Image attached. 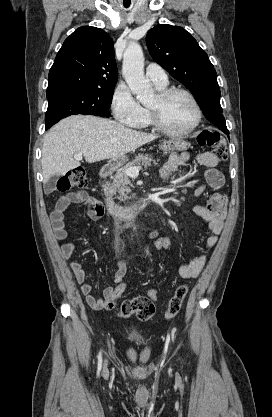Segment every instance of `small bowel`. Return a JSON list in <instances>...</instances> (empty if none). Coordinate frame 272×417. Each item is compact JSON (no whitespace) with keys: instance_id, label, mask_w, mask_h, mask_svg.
<instances>
[{"instance_id":"c3829d8e","label":"small bowel","mask_w":272,"mask_h":417,"mask_svg":"<svg viewBox=\"0 0 272 417\" xmlns=\"http://www.w3.org/2000/svg\"><path fill=\"white\" fill-rule=\"evenodd\" d=\"M195 161L208 169L205 173L204 179L200 180L195 195L202 196L207 186L213 190L220 189L224 184V177L222 173L216 169L218 159L212 152H203L192 156L188 152H179L173 154L168 161L160 169V177L162 179L169 178L181 166L188 165L191 161ZM84 205L87 208V213L93 220H98L104 215V208L100 200L91 196L86 190L78 189L69 192L62 196L53 212L52 223L54 226V234L58 241L67 239L68 232L65 224V214L72 206ZM196 215L204 219L208 223L211 235L205 239L207 248H214L218 242L219 235L223 230L224 221L226 218V197L220 193H214L206 204L197 205L194 208ZM158 234L151 232L150 238H156ZM76 252V245L74 243H64L60 247V254L63 259L68 260ZM207 258L204 255L198 256L188 263L179 266L178 274L184 279L197 277L205 267ZM69 268L74 275V278L79 285L81 293L85 296L87 304L96 311H100L105 306V301L109 300L116 286H118L124 279L127 273V267L123 260H117V269L113 279V285L107 286L103 290L102 297H96L92 294L93 286L86 283L87 270L80 262H70Z\"/></svg>"}]
</instances>
